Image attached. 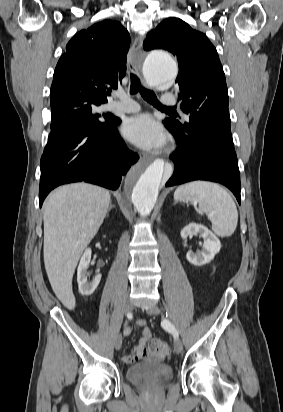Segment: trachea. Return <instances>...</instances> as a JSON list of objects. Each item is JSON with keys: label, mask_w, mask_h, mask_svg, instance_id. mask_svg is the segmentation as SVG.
Wrapping results in <instances>:
<instances>
[{"label": "trachea", "mask_w": 283, "mask_h": 412, "mask_svg": "<svg viewBox=\"0 0 283 412\" xmlns=\"http://www.w3.org/2000/svg\"><path fill=\"white\" fill-rule=\"evenodd\" d=\"M130 77H131L130 94L133 95L139 92L141 96L143 97V99L146 100L148 103L152 104L153 106L163 109V110L170 111V112H175L174 108L163 106L157 100V97L153 91L146 89L145 87L141 85L139 78L135 74H130Z\"/></svg>", "instance_id": "trachea-1"}]
</instances>
